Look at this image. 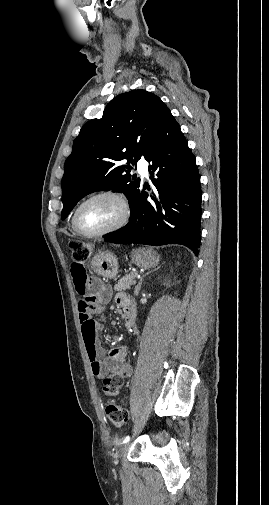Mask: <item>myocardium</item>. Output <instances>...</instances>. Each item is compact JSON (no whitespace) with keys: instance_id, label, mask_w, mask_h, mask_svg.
I'll return each instance as SVG.
<instances>
[{"instance_id":"obj_1","label":"myocardium","mask_w":269,"mask_h":505,"mask_svg":"<svg viewBox=\"0 0 269 505\" xmlns=\"http://www.w3.org/2000/svg\"><path fill=\"white\" fill-rule=\"evenodd\" d=\"M101 197H110V198L117 200L122 207V215H121L120 219L115 224H113L112 226H110L104 230L97 231V232L87 231V230L83 229L79 223V213H80L81 209L88 202H90L94 199H97V198H101ZM130 215H131L130 204H129L127 198L123 194H121L120 192L114 191V190H103V191H99V192H96V193L90 195L89 197L84 199L77 206V208L75 209L74 214H73V225H74V228L76 229V231L85 237H90V238L102 237V236L108 235L110 233H113V232L118 231L119 229L123 228L128 223V221L130 219Z\"/></svg>"}]
</instances>
